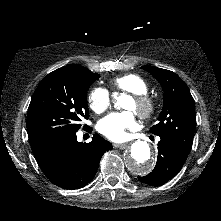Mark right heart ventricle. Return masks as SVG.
Returning a JSON list of instances; mask_svg holds the SVG:
<instances>
[{
    "instance_id": "right-heart-ventricle-1",
    "label": "right heart ventricle",
    "mask_w": 221,
    "mask_h": 221,
    "mask_svg": "<svg viewBox=\"0 0 221 221\" xmlns=\"http://www.w3.org/2000/svg\"><path fill=\"white\" fill-rule=\"evenodd\" d=\"M111 85L116 90L132 94H146L148 92L146 81L137 74H126L116 77L111 81Z\"/></svg>"
}]
</instances>
